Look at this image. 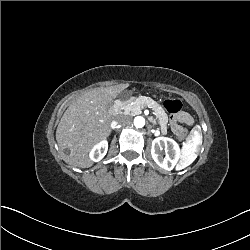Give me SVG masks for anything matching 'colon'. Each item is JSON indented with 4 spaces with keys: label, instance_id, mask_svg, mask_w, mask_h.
Masks as SVG:
<instances>
[{
    "label": "colon",
    "instance_id": "1",
    "mask_svg": "<svg viewBox=\"0 0 250 250\" xmlns=\"http://www.w3.org/2000/svg\"><path fill=\"white\" fill-rule=\"evenodd\" d=\"M162 105L167 109L169 113L177 116L180 120L191 123V118L187 114L181 112L182 103L180 101L172 100V98L170 97H165L162 100ZM188 134L189 131L186 128H183L179 132V139L182 142H185L188 139Z\"/></svg>",
    "mask_w": 250,
    "mask_h": 250
}]
</instances>
